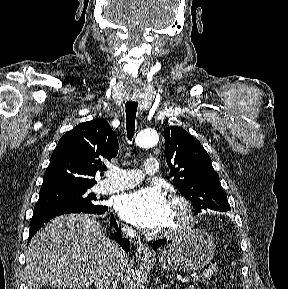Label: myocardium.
I'll list each match as a JSON object with an SVG mask.
<instances>
[{
  "label": "myocardium",
  "mask_w": 288,
  "mask_h": 289,
  "mask_svg": "<svg viewBox=\"0 0 288 289\" xmlns=\"http://www.w3.org/2000/svg\"><path fill=\"white\" fill-rule=\"evenodd\" d=\"M170 203L180 207L182 220L179 224L168 227L166 233L171 236H179L190 231L194 226V206L193 203L182 195L174 194L170 197Z\"/></svg>",
  "instance_id": "1"
}]
</instances>
